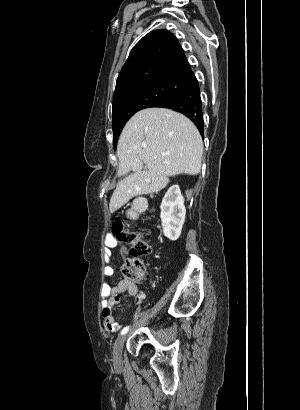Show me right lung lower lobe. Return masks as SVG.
Here are the masks:
<instances>
[{
    "label": "right lung lower lobe",
    "mask_w": 300,
    "mask_h": 410,
    "mask_svg": "<svg viewBox=\"0 0 300 410\" xmlns=\"http://www.w3.org/2000/svg\"><path fill=\"white\" fill-rule=\"evenodd\" d=\"M161 107L169 108L186 115L199 129L200 134L203 135L202 102L198 81L195 76H193L187 86L174 99L163 104Z\"/></svg>",
    "instance_id": "1"
}]
</instances>
